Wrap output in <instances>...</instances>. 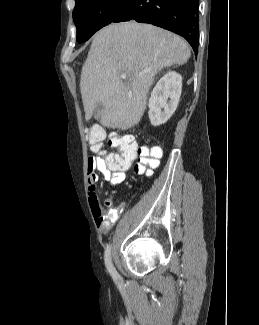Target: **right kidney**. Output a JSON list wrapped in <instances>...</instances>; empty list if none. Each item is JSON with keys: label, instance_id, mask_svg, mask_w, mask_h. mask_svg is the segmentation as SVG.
<instances>
[{"label": "right kidney", "instance_id": "1", "mask_svg": "<svg viewBox=\"0 0 259 325\" xmlns=\"http://www.w3.org/2000/svg\"><path fill=\"white\" fill-rule=\"evenodd\" d=\"M181 91L182 76L175 71H169L157 82L148 104V115L153 126L164 124L170 119L179 103Z\"/></svg>", "mask_w": 259, "mask_h": 325}]
</instances>
